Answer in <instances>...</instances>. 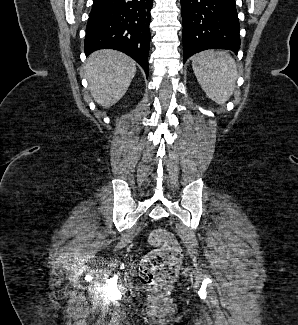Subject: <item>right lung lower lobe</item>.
Wrapping results in <instances>:
<instances>
[{
  "label": "right lung lower lobe",
  "instance_id": "obj_1",
  "mask_svg": "<svg viewBox=\"0 0 298 325\" xmlns=\"http://www.w3.org/2000/svg\"><path fill=\"white\" fill-rule=\"evenodd\" d=\"M153 0H94L84 51L110 48L132 57L148 76L150 10Z\"/></svg>",
  "mask_w": 298,
  "mask_h": 325
}]
</instances>
